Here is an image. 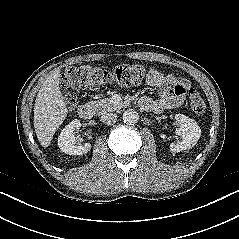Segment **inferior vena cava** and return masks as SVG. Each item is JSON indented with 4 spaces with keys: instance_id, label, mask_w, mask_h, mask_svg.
<instances>
[{
    "instance_id": "obj_1",
    "label": "inferior vena cava",
    "mask_w": 239,
    "mask_h": 239,
    "mask_svg": "<svg viewBox=\"0 0 239 239\" xmlns=\"http://www.w3.org/2000/svg\"><path fill=\"white\" fill-rule=\"evenodd\" d=\"M101 121L107 125H112L117 121V115L114 113H103Z\"/></svg>"
}]
</instances>
